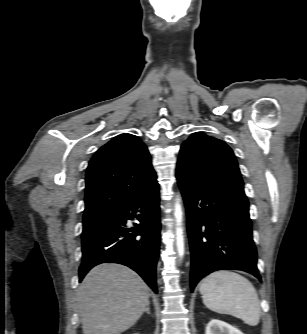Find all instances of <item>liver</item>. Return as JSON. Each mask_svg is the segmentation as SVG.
Listing matches in <instances>:
<instances>
[{"mask_svg": "<svg viewBox=\"0 0 307 334\" xmlns=\"http://www.w3.org/2000/svg\"><path fill=\"white\" fill-rule=\"evenodd\" d=\"M83 334H121L149 303V288L130 268L103 263L83 279L77 294Z\"/></svg>", "mask_w": 307, "mask_h": 334, "instance_id": "obj_1", "label": "liver"}]
</instances>
